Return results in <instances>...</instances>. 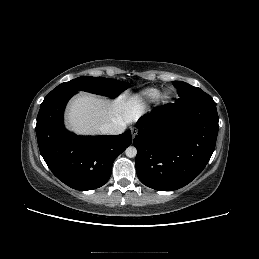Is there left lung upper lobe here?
I'll return each instance as SVG.
<instances>
[{"instance_id": "5c2ea615", "label": "left lung upper lobe", "mask_w": 259, "mask_h": 259, "mask_svg": "<svg viewBox=\"0 0 259 259\" xmlns=\"http://www.w3.org/2000/svg\"><path fill=\"white\" fill-rule=\"evenodd\" d=\"M174 87L178 90L179 99L181 102L191 101H213L212 97L198 87L182 81H173Z\"/></svg>"}]
</instances>
